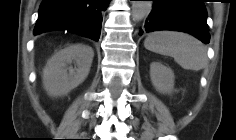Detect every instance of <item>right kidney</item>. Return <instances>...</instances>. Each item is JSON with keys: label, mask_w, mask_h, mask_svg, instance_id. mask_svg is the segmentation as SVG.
Returning a JSON list of instances; mask_svg holds the SVG:
<instances>
[{"label": "right kidney", "mask_w": 236, "mask_h": 140, "mask_svg": "<svg viewBox=\"0 0 236 140\" xmlns=\"http://www.w3.org/2000/svg\"><path fill=\"white\" fill-rule=\"evenodd\" d=\"M93 56L92 48L83 44H73L58 51L43 70V85L47 93L52 97L66 95L83 83Z\"/></svg>", "instance_id": "right-kidney-1"}]
</instances>
